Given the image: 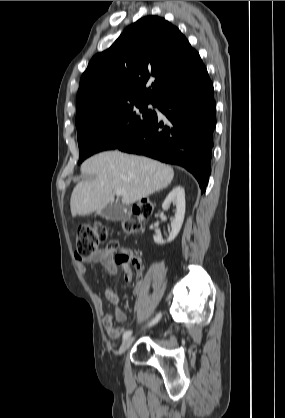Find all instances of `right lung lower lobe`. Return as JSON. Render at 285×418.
<instances>
[{
  "instance_id": "1",
  "label": "right lung lower lobe",
  "mask_w": 285,
  "mask_h": 418,
  "mask_svg": "<svg viewBox=\"0 0 285 418\" xmlns=\"http://www.w3.org/2000/svg\"><path fill=\"white\" fill-rule=\"evenodd\" d=\"M170 124L155 118L137 135L116 149L145 155L190 171L205 192L211 173L216 102L207 70L158 104Z\"/></svg>"
}]
</instances>
